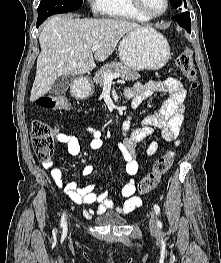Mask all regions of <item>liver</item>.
I'll return each mask as SVG.
<instances>
[{"label":"liver","instance_id":"obj_1","mask_svg":"<svg viewBox=\"0 0 221 263\" xmlns=\"http://www.w3.org/2000/svg\"><path fill=\"white\" fill-rule=\"evenodd\" d=\"M133 30L154 31L123 19L51 17L39 35L41 52L30 101L48 93L59 77L84 75L94 69V58L105 61L120 39ZM93 46H99L94 56Z\"/></svg>","mask_w":221,"mask_h":263}]
</instances>
